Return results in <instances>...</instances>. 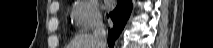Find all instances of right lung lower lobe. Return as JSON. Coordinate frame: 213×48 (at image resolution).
Here are the masks:
<instances>
[{"mask_svg": "<svg viewBox=\"0 0 213 48\" xmlns=\"http://www.w3.org/2000/svg\"><path fill=\"white\" fill-rule=\"evenodd\" d=\"M132 10V1L131 0H118V5L114 9L112 13H110V17L114 22L113 29H109V40L108 45L110 48L113 47L114 41L124 28L125 23L130 15Z\"/></svg>", "mask_w": 213, "mask_h": 48, "instance_id": "right-lung-lower-lobe-1", "label": "right lung lower lobe"}]
</instances>
